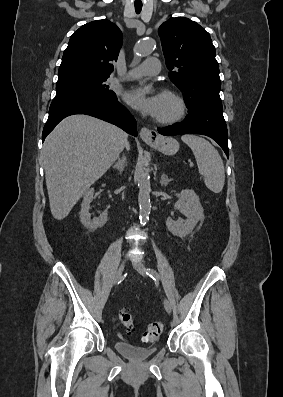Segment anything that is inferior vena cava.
I'll return each mask as SVG.
<instances>
[{"label":"inferior vena cava","instance_id":"obj_1","mask_svg":"<svg viewBox=\"0 0 283 397\" xmlns=\"http://www.w3.org/2000/svg\"><path fill=\"white\" fill-rule=\"evenodd\" d=\"M128 145V142L126 141V146Z\"/></svg>","mask_w":283,"mask_h":397}]
</instances>
